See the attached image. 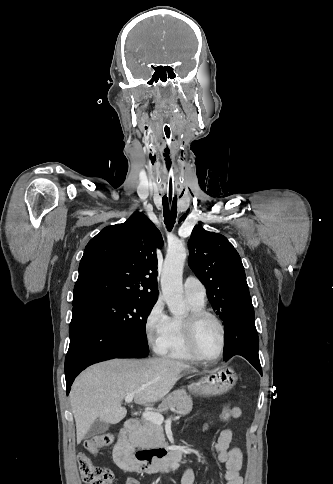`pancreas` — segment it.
I'll use <instances>...</instances> for the list:
<instances>
[{
	"instance_id": "1",
	"label": "pancreas",
	"mask_w": 333,
	"mask_h": 484,
	"mask_svg": "<svg viewBox=\"0 0 333 484\" xmlns=\"http://www.w3.org/2000/svg\"><path fill=\"white\" fill-rule=\"evenodd\" d=\"M176 407L181 416L188 415L193 406L191 397L185 390H177L165 398L158 409ZM131 442L140 448H155L165 445L163 426L151 421L142 419V425L129 435Z\"/></svg>"
}]
</instances>
